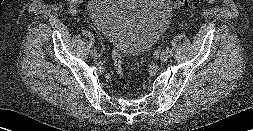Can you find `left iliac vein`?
Wrapping results in <instances>:
<instances>
[{
    "label": "left iliac vein",
    "instance_id": "left-iliac-vein-1",
    "mask_svg": "<svg viewBox=\"0 0 253 131\" xmlns=\"http://www.w3.org/2000/svg\"><path fill=\"white\" fill-rule=\"evenodd\" d=\"M171 56H172V51L169 54L161 52L160 55H159V58L162 61H167L169 58H171Z\"/></svg>",
    "mask_w": 253,
    "mask_h": 131
}]
</instances>
